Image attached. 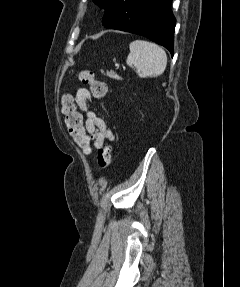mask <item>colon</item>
<instances>
[{
    "instance_id": "colon-1",
    "label": "colon",
    "mask_w": 240,
    "mask_h": 287,
    "mask_svg": "<svg viewBox=\"0 0 240 287\" xmlns=\"http://www.w3.org/2000/svg\"><path fill=\"white\" fill-rule=\"evenodd\" d=\"M77 77L83 84L90 87V91L94 97L102 98L106 96L107 85L102 81L96 80L90 70L79 71ZM61 106L71 137L86 154H89L91 152L90 136L85 130L83 117L77 111L72 96L64 94L61 99ZM111 158L112 147L110 145L103 146L97 150V162L100 171H104L110 166Z\"/></svg>"
}]
</instances>
